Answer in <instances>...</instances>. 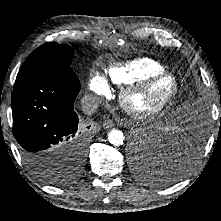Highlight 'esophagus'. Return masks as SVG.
<instances>
[{
  "label": "esophagus",
  "instance_id": "1",
  "mask_svg": "<svg viewBox=\"0 0 221 221\" xmlns=\"http://www.w3.org/2000/svg\"><path fill=\"white\" fill-rule=\"evenodd\" d=\"M114 126V123L111 119H106L104 122H103V127L108 129V128H112Z\"/></svg>",
  "mask_w": 221,
  "mask_h": 221
}]
</instances>
